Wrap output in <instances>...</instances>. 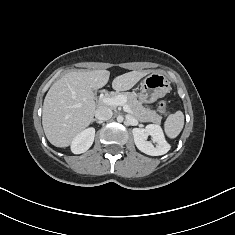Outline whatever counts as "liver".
Masks as SVG:
<instances>
[{"label": "liver", "mask_w": 235, "mask_h": 235, "mask_svg": "<svg viewBox=\"0 0 235 235\" xmlns=\"http://www.w3.org/2000/svg\"><path fill=\"white\" fill-rule=\"evenodd\" d=\"M148 71H131L112 82L116 91L131 89ZM107 70L71 71L49 89L43 103L42 125L48 141L56 147L69 146L93 121L96 112L93 91L109 80Z\"/></svg>", "instance_id": "obj_1"}]
</instances>
